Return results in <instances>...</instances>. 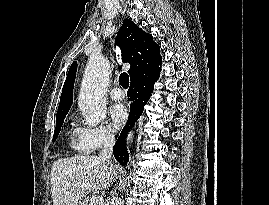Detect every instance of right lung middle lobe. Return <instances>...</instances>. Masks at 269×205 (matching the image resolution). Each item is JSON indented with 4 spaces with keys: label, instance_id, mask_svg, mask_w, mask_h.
Segmentation results:
<instances>
[{
    "label": "right lung middle lobe",
    "instance_id": "dd1d6c3e",
    "mask_svg": "<svg viewBox=\"0 0 269 205\" xmlns=\"http://www.w3.org/2000/svg\"><path fill=\"white\" fill-rule=\"evenodd\" d=\"M64 118L65 116H62V117H59V118H56V128H55V131H54V136H53V142H55L59 132H60V129H61V126L64 122Z\"/></svg>",
    "mask_w": 269,
    "mask_h": 205
}]
</instances>
